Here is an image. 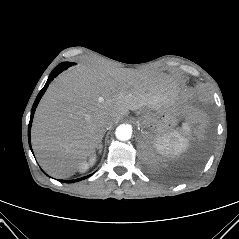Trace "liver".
Instances as JSON below:
<instances>
[{
    "mask_svg": "<svg viewBox=\"0 0 239 239\" xmlns=\"http://www.w3.org/2000/svg\"><path fill=\"white\" fill-rule=\"evenodd\" d=\"M177 109L192 117L180 84L165 75L130 69L80 66L60 75L42 97L33 120L32 146L41 167L55 178L74 174L91 157L106 130L129 110Z\"/></svg>",
    "mask_w": 239,
    "mask_h": 239,
    "instance_id": "obj_1",
    "label": "liver"
}]
</instances>
